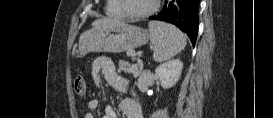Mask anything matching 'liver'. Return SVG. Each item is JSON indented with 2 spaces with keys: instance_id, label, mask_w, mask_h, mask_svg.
I'll return each instance as SVG.
<instances>
[{
  "instance_id": "1",
  "label": "liver",
  "mask_w": 273,
  "mask_h": 118,
  "mask_svg": "<svg viewBox=\"0 0 273 118\" xmlns=\"http://www.w3.org/2000/svg\"><path fill=\"white\" fill-rule=\"evenodd\" d=\"M112 22H115V21L110 20V19H98V20H96V21H94L92 23V26L93 27H98V26L110 24Z\"/></svg>"
}]
</instances>
